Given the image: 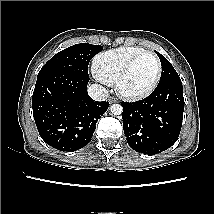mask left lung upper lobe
<instances>
[{
	"mask_svg": "<svg viewBox=\"0 0 214 214\" xmlns=\"http://www.w3.org/2000/svg\"><path fill=\"white\" fill-rule=\"evenodd\" d=\"M158 57L160 58L161 64H162V74L160 78V83L169 81V80H175L180 79L179 75L177 74L174 67L171 65V63L162 56L159 52H156Z\"/></svg>",
	"mask_w": 214,
	"mask_h": 214,
	"instance_id": "1",
	"label": "left lung upper lobe"
}]
</instances>
